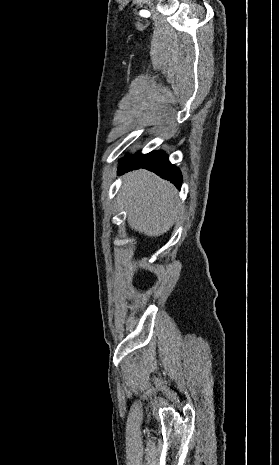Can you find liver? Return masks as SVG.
Segmentation results:
<instances>
[{
	"mask_svg": "<svg viewBox=\"0 0 279 465\" xmlns=\"http://www.w3.org/2000/svg\"><path fill=\"white\" fill-rule=\"evenodd\" d=\"M119 203L127 213L130 228L149 237L169 231L180 212L176 188L144 169L124 176Z\"/></svg>",
	"mask_w": 279,
	"mask_h": 465,
	"instance_id": "6515ba94",
	"label": "liver"
}]
</instances>
